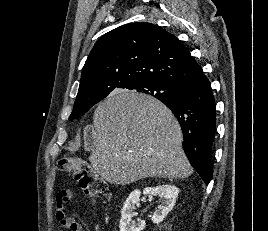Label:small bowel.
I'll use <instances>...</instances> for the list:
<instances>
[{
  "instance_id": "obj_1",
  "label": "small bowel",
  "mask_w": 268,
  "mask_h": 231,
  "mask_svg": "<svg viewBox=\"0 0 268 231\" xmlns=\"http://www.w3.org/2000/svg\"><path fill=\"white\" fill-rule=\"evenodd\" d=\"M63 192H67V195H62ZM72 197V192L69 190H64L58 194L56 200V220L60 226L67 229L68 231H83L81 225L65 210V204L70 201ZM96 231H99L98 225H96Z\"/></svg>"
}]
</instances>
